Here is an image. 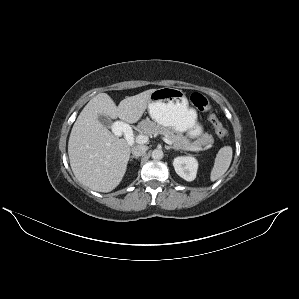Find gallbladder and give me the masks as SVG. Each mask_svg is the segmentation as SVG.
I'll use <instances>...</instances> for the list:
<instances>
[{
    "instance_id": "gallbladder-1",
    "label": "gallbladder",
    "mask_w": 299,
    "mask_h": 299,
    "mask_svg": "<svg viewBox=\"0 0 299 299\" xmlns=\"http://www.w3.org/2000/svg\"><path fill=\"white\" fill-rule=\"evenodd\" d=\"M98 120L103 126H105L107 128L112 127V122L106 115H99Z\"/></svg>"
}]
</instances>
